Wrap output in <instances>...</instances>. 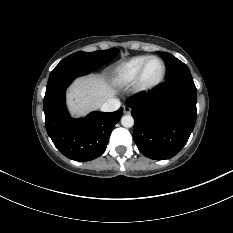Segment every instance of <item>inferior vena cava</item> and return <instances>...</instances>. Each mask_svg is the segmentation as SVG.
Here are the masks:
<instances>
[{
    "label": "inferior vena cava",
    "instance_id": "602c4592",
    "mask_svg": "<svg viewBox=\"0 0 233 233\" xmlns=\"http://www.w3.org/2000/svg\"><path fill=\"white\" fill-rule=\"evenodd\" d=\"M121 103L118 99L110 98L101 106L103 112H113L119 109Z\"/></svg>",
    "mask_w": 233,
    "mask_h": 233
}]
</instances>
